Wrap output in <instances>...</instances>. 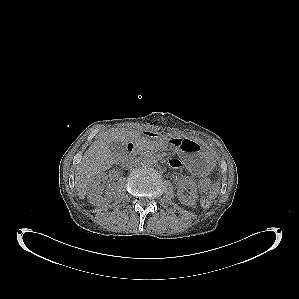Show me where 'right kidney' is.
<instances>
[{
  "label": "right kidney",
  "mask_w": 299,
  "mask_h": 299,
  "mask_svg": "<svg viewBox=\"0 0 299 299\" xmlns=\"http://www.w3.org/2000/svg\"><path fill=\"white\" fill-rule=\"evenodd\" d=\"M108 179L105 173L98 174L88 185L87 198L92 205L99 206L102 203H110L115 197L114 186L105 188L102 182ZM105 193L104 197L102 194Z\"/></svg>",
  "instance_id": "1"
}]
</instances>
